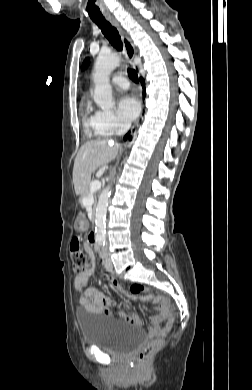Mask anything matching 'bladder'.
I'll use <instances>...</instances> for the list:
<instances>
[{"label":"bladder","instance_id":"bladder-1","mask_svg":"<svg viewBox=\"0 0 252 390\" xmlns=\"http://www.w3.org/2000/svg\"><path fill=\"white\" fill-rule=\"evenodd\" d=\"M77 318L83 341L88 345L124 353L144 340L142 329L132 324L81 311L77 313Z\"/></svg>","mask_w":252,"mask_h":390}]
</instances>
